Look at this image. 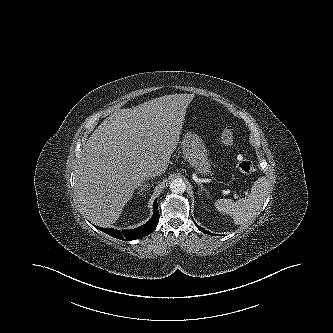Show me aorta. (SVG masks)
Masks as SVG:
<instances>
[{
  "label": "aorta",
  "mask_w": 333,
  "mask_h": 333,
  "mask_svg": "<svg viewBox=\"0 0 333 333\" xmlns=\"http://www.w3.org/2000/svg\"><path fill=\"white\" fill-rule=\"evenodd\" d=\"M170 190L173 193H183L186 190V184L182 179H175L170 184Z\"/></svg>",
  "instance_id": "1"
}]
</instances>
